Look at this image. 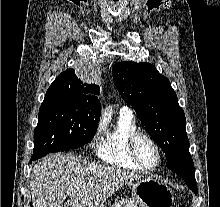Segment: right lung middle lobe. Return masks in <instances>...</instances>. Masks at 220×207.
<instances>
[{"mask_svg": "<svg viewBox=\"0 0 220 207\" xmlns=\"http://www.w3.org/2000/svg\"><path fill=\"white\" fill-rule=\"evenodd\" d=\"M101 111L77 97L45 95L39 108L38 124L34 131L32 157L75 149L94 137Z\"/></svg>", "mask_w": 220, "mask_h": 207, "instance_id": "obj_1", "label": "right lung middle lobe"}]
</instances>
